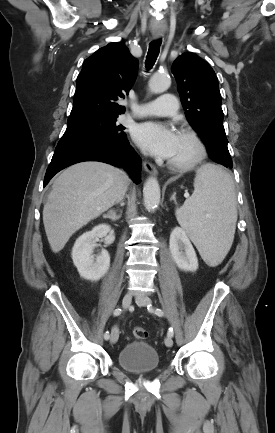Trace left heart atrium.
<instances>
[{"label":"left heart atrium","instance_id":"left-heart-atrium-1","mask_svg":"<svg viewBox=\"0 0 275 433\" xmlns=\"http://www.w3.org/2000/svg\"><path fill=\"white\" fill-rule=\"evenodd\" d=\"M134 141L152 155L169 159L176 146L178 134L168 125L155 121L137 124Z\"/></svg>","mask_w":275,"mask_h":433}]
</instances>
